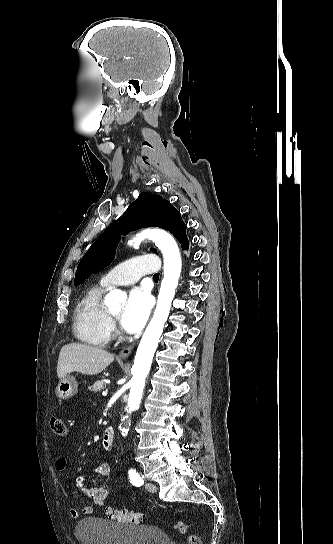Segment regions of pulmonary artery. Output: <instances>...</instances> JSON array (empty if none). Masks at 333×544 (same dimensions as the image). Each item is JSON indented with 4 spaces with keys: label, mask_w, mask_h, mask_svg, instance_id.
Listing matches in <instances>:
<instances>
[{
    "label": "pulmonary artery",
    "mask_w": 333,
    "mask_h": 544,
    "mask_svg": "<svg viewBox=\"0 0 333 544\" xmlns=\"http://www.w3.org/2000/svg\"><path fill=\"white\" fill-rule=\"evenodd\" d=\"M159 270L158 258L154 255L132 257L112 268L100 280L105 287L129 285L138 281L145 274Z\"/></svg>",
    "instance_id": "e3ab8cb5"
}]
</instances>
